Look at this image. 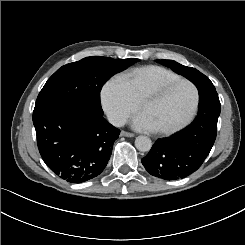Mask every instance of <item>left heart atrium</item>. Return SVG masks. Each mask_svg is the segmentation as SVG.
<instances>
[{"instance_id":"39dd6f15","label":"left heart atrium","mask_w":245,"mask_h":245,"mask_svg":"<svg viewBox=\"0 0 245 245\" xmlns=\"http://www.w3.org/2000/svg\"><path fill=\"white\" fill-rule=\"evenodd\" d=\"M133 125L138 130H154L155 128L148 122L142 113H138L134 119Z\"/></svg>"}]
</instances>
